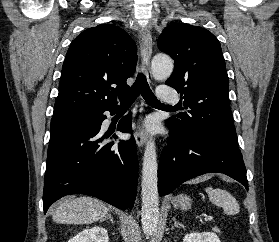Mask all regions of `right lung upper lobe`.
Returning a JSON list of instances; mask_svg holds the SVG:
<instances>
[{"label": "right lung upper lobe", "mask_w": 279, "mask_h": 242, "mask_svg": "<svg viewBox=\"0 0 279 242\" xmlns=\"http://www.w3.org/2000/svg\"><path fill=\"white\" fill-rule=\"evenodd\" d=\"M136 63V45L123 29L100 24L83 31L66 54L53 117L117 108Z\"/></svg>", "instance_id": "right-lung-upper-lobe-1"}]
</instances>
